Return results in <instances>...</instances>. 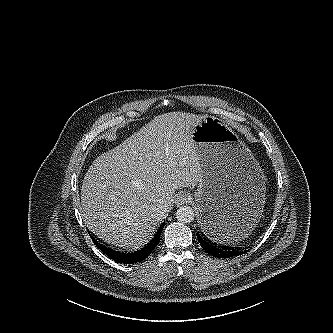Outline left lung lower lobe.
<instances>
[{"label": "left lung lower lobe", "instance_id": "left-lung-lower-lobe-1", "mask_svg": "<svg viewBox=\"0 0 333 333\" xmlns=\"http://www.w3.org/2000/svg\"><path fill=\"white\" fill-rule=\"evenodd\" d=\"M237 228L239 227L227 219L226 215L216 212L207 220L203 232H197V238L202 248L213 257L224 259L235 257L248 252V250L239 251L236 247L220 246L211 240H222L228 232Z\"/></svg>", "mask_w": 333, "mask_h": 333}]
</instances>
